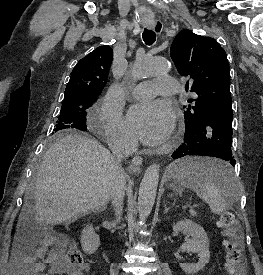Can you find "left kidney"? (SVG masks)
<instances>
[{
  "label": "left kidney",
  "instance_id": "1",
  "mask_svg": "<svg viewBox=\"0 0 263 275\" xmlns=\"http://www.w3.org/2000/svg\"><path fill=\"white\" fill-rule=\"evenodd\" d=\"M173 231L191 237L186 239V242L181 245V249L197 253L199 260L195 264L180 263V267L186 274H196L203 269L210 259L209 239L205 230L192 220L184 219L173 225Z\"/></svg>",
  "mask_w": 263,
  "mask_h": 275
}]
</instances>
